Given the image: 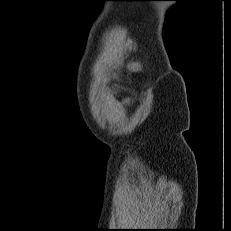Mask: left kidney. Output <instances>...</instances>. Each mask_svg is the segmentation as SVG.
<instances>
[{
	"instance_id": "5707ae66",
	"label": "left kidney",
	"mask_w": 231,
	"mask_h": 231,
	"mask_svg": "<svg viewBox=\"0 0 231 231\" xmlns=\"http://www.w3.org/2000/svg\"><path fill=\"white\" fill-rule=\"evenodd\" d=\"M129 69L132 71H139V70H141V65L139 63H132L129 66Z\"/></svg>"
}]
</instances>
